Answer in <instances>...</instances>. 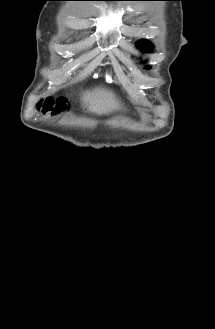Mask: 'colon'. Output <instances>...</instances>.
Segmentation results:
<instances>
[{"mask_svg":"<svg viewBox=\"0 0 215 329\" xmlns=\"http://www.w3.org/2000/svg\"><path fill=\"white\" fill-rule=\"evenodd\" d=\"M66 35L69 37L71 34L68 32ZM66 101V96H53V98H48L44 101V107L40 109V112L42 114H66Z\"/></svg>","mask_w":215,"mask_h":329,"instance_id":"colon-1","label":"colon"}]
</instances>
